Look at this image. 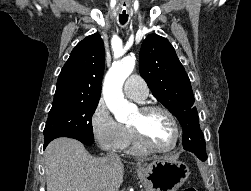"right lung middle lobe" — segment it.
I'll use <instances>...</instances> for the list:
<instances>
[{"instance_id":"obj_1","label":"right lung middle lobe","mask_w":251,"mask_h":191,"mask_svg":"<svg viewBox=\"0 0 251 191\" xmlns=\"http://www.w3.org/2000/svg\"><path fill=\"white\" fill-rule=\"evenodd\" d=\"M98 102L52 106L44 129V144L55 138L79 136L94 141L91 119Z\"/></svg>"}]
</instances>
